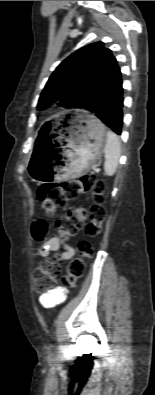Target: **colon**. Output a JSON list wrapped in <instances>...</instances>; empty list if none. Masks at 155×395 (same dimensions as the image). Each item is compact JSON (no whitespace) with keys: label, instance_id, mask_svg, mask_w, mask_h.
I'll return each mask as SVG.
<instances>
[{"label":"colon","instance_id":"obj_1","mask_svg":"<svg viewBox=\"0 0 155 395\" xmlns=\"http://www.w3.org/2000/svg\"><path fill=\"white\" fill-rule=\"evenodd\" d=\"M89 191L93 192V205L89 210L82 207L70 209L58 221L57 229L61 237L71 238L83 228L90 237L100 234L106 218L105 183L93 175L86 174L76 179L43 184L39 187L37 196L47 215H52L67 200L75 199L78 195ZM46 231L47 224L41 220L34 222L31 228L32 237L37 242L44 239ZM93 254V245L89 241L83 240L79 243V256L70 261L62 283L63 288H74L83 275L85 262L92 258ZM59 271L60 267L56 261L43 260L34 273L36 292H48L54 285Z\"/></svg>","mask_w":155,"mask_h":395}]
</instances>
